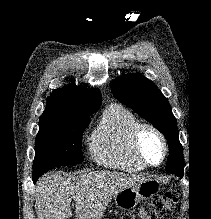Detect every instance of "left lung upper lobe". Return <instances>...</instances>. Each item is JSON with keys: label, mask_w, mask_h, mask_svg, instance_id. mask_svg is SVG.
Returning <instances> with one entry per match:
<instances>
[{"label": "left lung upper lobe", "mask_w": 211, "mask_h": 219, "mask_svg": "<svg viewBox=\"0 0 211 219\" xmlns=\"http://www.w3.org/2000/svg\"><path fill=\"white\" fill-rule=\"evenodd\" d=\"M110 86L115 98L153 124L166 137L169 149L178 150L183 156L176 118L168 100L152 81L132 73L111 81ZM166 170L180 175L178 168L168 163Z\"/></svg>", "instance_id": "1"}]
</instances>
